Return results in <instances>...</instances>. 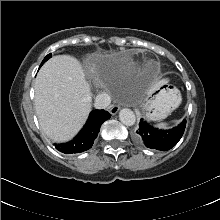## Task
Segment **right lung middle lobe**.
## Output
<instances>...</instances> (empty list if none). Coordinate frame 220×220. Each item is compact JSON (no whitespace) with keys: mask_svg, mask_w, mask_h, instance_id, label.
<instances>
[{"mask_svg":"<svg viewBox=\"0 0 220 220\" xmlns=\"http://www.w3.org/2000/svg\"><path fill=\"white\" fill-rule=\"evenodd\" d=\"M49 58H51V54H48V55L44 58V60L42 61V63H41L40 66H42V64L45 63Z\"/></svg>","mask_w":220,"mask_h":220,"instance_id":"dd1d6c3e","label":"right lung middle lobe"}]
</instances>
